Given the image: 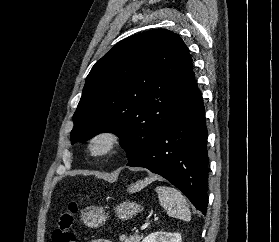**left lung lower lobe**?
<instances>
[{
  "label": "left lung lower lobe",
  "mask_w": 279,
  "mask_h": 242,
  "mask_svg": "<svg viewBox=\"0 0 279 242\" xmlns=\"http://www.w3.org/2000/svg\"><path fill=\"white\" fill-rule=\"evenodd\" d=\"M208 164L204 105L201 92L193 80L183 102L161 132L127 166L144 167L163 176L205 214Z\"/></svg>",
  "instance_id": "left-lung-lower-lobe-1"
}]
</instances>
